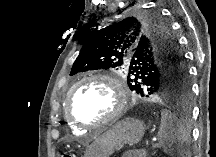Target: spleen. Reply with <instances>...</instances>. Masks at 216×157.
<instances>
[{
    "instance_id": "spleen-1",
    "label": "spleen",
    "mask_w": 216,
    "mask_h": 157,
    "mask_svg": "<svg viewBox=\"0 0 216 157\" xmlns=\"http://www.w3.org/2000/svg\"><path fill=\"white\" fill-rule=\"evenodd\" d=\"M164 152L180 157L190 155V133L183 123L167 109L161 111V123L157 134Z\"/></svg>"
}]
</instances>
